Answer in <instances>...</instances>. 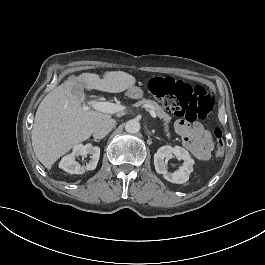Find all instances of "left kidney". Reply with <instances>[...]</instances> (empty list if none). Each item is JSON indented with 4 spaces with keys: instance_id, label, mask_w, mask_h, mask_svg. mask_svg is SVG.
<instances>
[{
    "instance_id": "1",
    "label": "left kidney",
    "mask_w": 265,
    "mask_h": 265,
    "mask_svg": "<svg viewBox=\"0 0 265 265\" xmlns=\"http://www.w3.org/2000/svg\"><path fill=\"white\" fill-rule=\"evenodd\" d=\"M175 155L178 160H184L183 166L173 173L167 171L164 159H170ZM194 160L189 152L180 146L171 147L169 145L160 147L154 154V166L157 173L172 183L182 184L189 180V175L193 172Z\"/></svg>"
}]
</instances>
